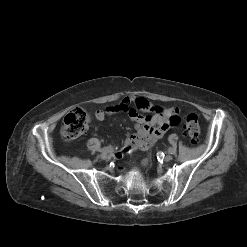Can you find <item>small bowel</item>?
<instances>
[{"mask_svg": "<svg viewBox=\"0 0 247 247\" xmlns=\"http://www.w3.org/2000/svg\"><path fill=\"white\" fill-rule=\"evenodd\" d=\"M140 111L147 112L148 115H143ZM119 112H126L135 123L136 133L125 140V149L128 152L148 150L171 126L178 125L180 120L178 108H162L140 97H125L116 105L98 109L94 116L96 120L102 121L106 116ZM121 156V153L116 154L117 158ZM147 163L148 160H144L143 164Z\"/></svg>", "mask_w": 247, "mask_h": 247, "instance_id": "obj_1", "label": "small bowel"}]
</instances>
